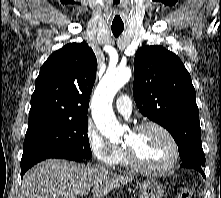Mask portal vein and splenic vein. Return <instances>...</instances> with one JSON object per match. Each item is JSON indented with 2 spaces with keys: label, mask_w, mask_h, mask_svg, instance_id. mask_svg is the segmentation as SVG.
<instances>
[{
  "label": "portal vein and splenic vein",
  "mask_w": 221,
  "mask_h": 198,
  "mask_svg": "<svg viewBox=\"0 0 221 198\" xmlns=\"http://www.w3.org/2000/svg\"><path fill=\"white\" fill-rule=\"evenodd\" d=\"M83 194H87V192H84ZM83 194H81V195H83Z\"/></svg>",
  "instance_id": "obj_1"
}]
</instances>
